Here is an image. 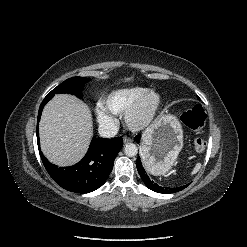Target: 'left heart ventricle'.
<instances>
[{
    "instance_id": "obj_1",
    "label": "left heart ventricle",
    "mask_w": 247,
    "mask_h": 247,
    "mask_svg": "<svg viewBox=\"0 0 247 247\" xmlns=\"http://www.w3.org/2000/svg\"><path fill=\"white\" fill-rule=\"evenodd\" d=\"M154 104V98L153 97H148L143 104L141 105L140 109L138 110L137 114H136V118L137 119H142L145 116H147L149 114V112L151 111L152 107Z\"/></svg>"
}]
</instances>
